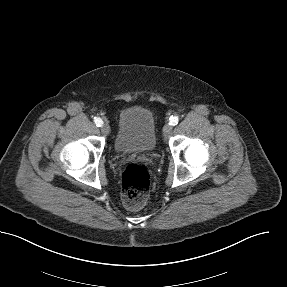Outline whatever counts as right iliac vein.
I'll return each mask as SVG.
<instances>
[{
  "mask_svg": "<svg viewBox=\"0 0 287 287\" xmlns=\"http://www.w3.org/2000/svg\"><path fill=\"white\" fill-rule=\"evenodd\" d=\"M101 131L103 134L108 135L110 133V127L107 123L102 124Z\"/></svg>",
  "mask_w": 287,
  "mask_h": 287,
  "instance_id": "1",
  "label": "right iliac vein"
}]
</instances>
